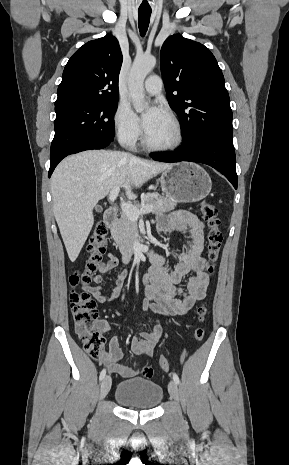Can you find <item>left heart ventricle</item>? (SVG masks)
<instances>
[{
  "instance_id": "left-heart-ventricle-1",
  "label": "left heart ventricle",
  "mask_w": 289,
  "mask_h": 465,
  "mask_svg": "<svg viewBox=\"0 0 289 465\" xmlns=\"http://www.w3.org/2000/svg\"><path fill=\"white\" fill-rule=\"evenodd\" d=\"M149 142L157 145H166L175 138V131L168 117L163 113L151 130L146 132Z\"/></svg>"
}]
</instances>
